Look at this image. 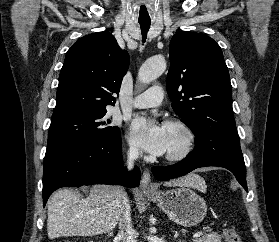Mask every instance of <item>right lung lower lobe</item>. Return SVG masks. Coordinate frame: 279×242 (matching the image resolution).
<instances>
[{"instance_id":"right-lung-lower-lobe-1","label":"right lung lower lobe","mask_w":279,"mask_h":242,"mask_svg":"<svg viewBox=\"0 0 279 242\" xmlns=\"http://www.w3.org/2000/svg\"><path fill=\"white\" fill-rule=\"evenodd\" d=\"M140 171H124L121 135L101 143L80 144L48 154L44 159L43 206L57 189L92 184L138 187Z\"/></svg>"}]
</instances>
